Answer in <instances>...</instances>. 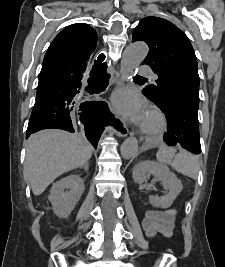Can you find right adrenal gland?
Here are the masks:
<instances>
[{
  "label": "right adrenal gland",
  "instance_id": "right-adrenal-gland-1",
  "mask_svg": "<svg viewBox=\"0 0 225 267\" xmlns=\"http://www.w3.org/2000/svg\"><path fill=\"white\" fill-rule=\"evenodd\" d=\"M83 168H84V170L87 172V171H88V169H89V164H88V163H86V164L83 166Z\"/></svg>",
  "mask_w": 225,
  "mask_h": 267
}]
</instances>
